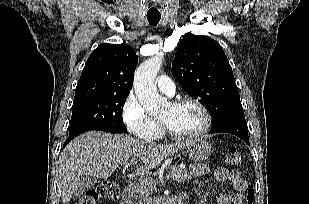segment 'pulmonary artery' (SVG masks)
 I'll use <instances>...</instances> for the list:
<instances>
[{"mask_svg": "<svg viewBox=\"0 0 309 204\" xmlns=\"http://www.w3.org/2000/svg\"><path fill=\"white\" fill-rule=\"evenodd\" d=\"M156 85L161 92L169 96H172L175 93V84L167 75L159 76L156 79Z\"/></svg>", "mask_w": 309, "mask_h": 204, "instance_id": "1", "label": "pulmonary artery"}]
</instances>
